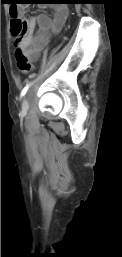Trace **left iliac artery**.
<instances>
[{"label":"left iliac artery","instance_id":"obj_1","mask_svg":"<svg viewBox=\"0 0 122 257\" xmlns=\"http://www.w3.org/2000/svg\"><path fill=\"white\" fill-rule=\"evenodd\" d=\"M30 85H31V84H27V85L22 89V91H21V97H23V96L27 93V91H28Z\"/></svg>","mask_w":122,"mask_h":257}]
</instances>
